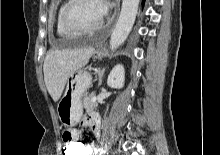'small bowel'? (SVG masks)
Returning <instances> with one entry per match:
<instances>
[{"instance_id": "c3829d8e", "label": "small bowel", "mask_w": 220, "mask_h": 155, "mask_svg": "<svg viewBox=\"0 0 220 155\" xmlns=\"http://www.w3.org/2000/svg\"><path fill=\"white\" fill-rule=\"evenodd\" d=\"M81 125L85 127L91 128L92 132L98 136L100 132V118L96 113L87 114L81 121ZM77 126H64V130H62L61 141H76L79 139V132L77 130ZM94 147L92 145H88L86 147V152L84 155H93Z\"/></svg>"}]
</instances>
